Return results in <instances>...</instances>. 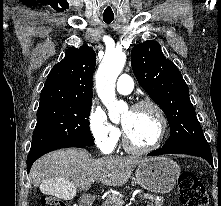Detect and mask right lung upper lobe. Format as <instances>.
<instances>
[{"instance_id": "1", "label": "right lung upper lobe", "mask_w": 221, "mask_h": 206, "mask_svg": "<svg viewBox=\"0 0 221 206\" xmlns=\"http://www.w3.org/2000/svg\"><path fill=\"white\" fill-rule=\"evenodd\" d=\"M96 65L94 50L83 45L70 47L65 58L54 65L40 94L39 108L92 103V76Z\"/></svg>"}]
</instances>
